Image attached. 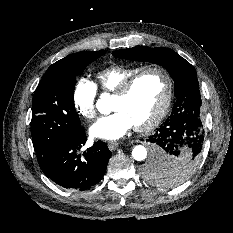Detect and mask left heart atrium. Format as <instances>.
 Wrapping results in <instances>:
<instances>
[{
  "label": "left heart atrium",
  "mask_w": 233,
  "mask_h": 233,
  "mask_svg": "<svg viewBox=\"0 0 233 233\" xmlns=\"http://www.w3.org/2000/svg\"><path fill=\"white\" fill-rule=\"evenodd\" d=\"M134 126L130 117L121 110L98 119L90 128L93 137L116 140L124 136Z\"/></svg>",
  "instance_id": "obj_1"
}]
</instances>
